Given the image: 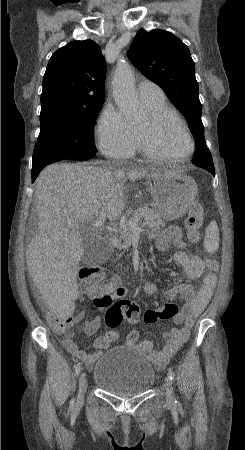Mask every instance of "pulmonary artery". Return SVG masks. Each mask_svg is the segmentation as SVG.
<instances>
[{
	"mask_svg": "<svg viewBox=\"0 0 245 450\" xmlns=\"http://www.w3.org/2000/svg\"><path fill=\"white\" fill-rule=\"evenodd\" d=\"M137 93L143 103H152L165 99L163 90L149 80H143L138 84Z\"/></svg>",
	"mask_w": 245,
	"mask_h": 450,
	"instance_id": "1",
	"label": "pulmonary artery"
}]
</instances>
